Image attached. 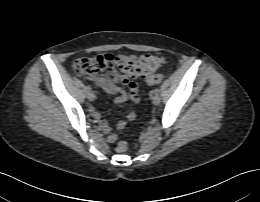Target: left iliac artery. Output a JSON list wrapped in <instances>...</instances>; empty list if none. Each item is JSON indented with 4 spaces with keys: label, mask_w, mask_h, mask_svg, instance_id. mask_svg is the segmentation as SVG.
<instances>
[{
    "label": "left iliac artery",
    "mask_w": 260,
    "mask_h": 202,
    "mask_svg": "<svg viewBox=\"0 0 260 202\" xmlns=\"http://www.w3.org/2000/svg\"><path fill=\"white\" fill-rule=\"evenodd\" d=\"M159 92H160V89H159V88H156V89L154 90V93H156V94H159Z\"/></svg>",
    "instance_id": "left-iliac-artery-1"
}]
</instances>
